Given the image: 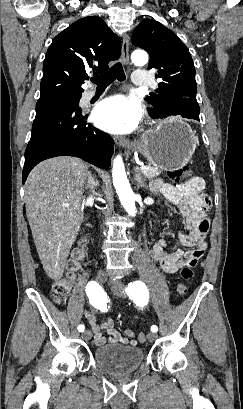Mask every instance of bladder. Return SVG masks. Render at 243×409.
Instances as JSON below:
<instances>
[{"label": "bladder", "instance_id": "31cf9c89", "mask_svg": "<svg viewBox=\"0 0 243 409\" xmlns=\"http://www.w3.org/2000/svg\"><path fill=\"white\" fill-rule=\"evenodd\" d=\"M93 357L108 372L120 374L137 369L144 360V351L136 346L111 343L96 347Z\"/></svg>", "mask_w": 243, "mask_h": 409}]
</instances>
